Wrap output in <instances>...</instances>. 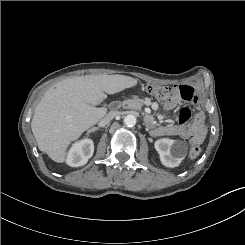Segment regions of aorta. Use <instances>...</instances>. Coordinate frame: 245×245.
<instances>
[{
	"mask_svg": "<svg viewBox=\"0 0 245 245\" xmlns=\"http://www.w3.org/2000/svg\"><path fill=\"white\" fill-rule=\"evenodd\" d=\"M137 123V118L136 116L129 114L127 116H125L124 118V125L126 127H133L135 126V124Z\"/></svg>",
	"mask_w": 245,
	"mask_h": 245,
	"instance_id": "obj_1",
	"label": "aorta"
}]
</instances>
